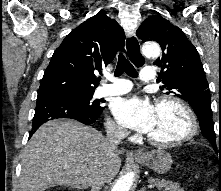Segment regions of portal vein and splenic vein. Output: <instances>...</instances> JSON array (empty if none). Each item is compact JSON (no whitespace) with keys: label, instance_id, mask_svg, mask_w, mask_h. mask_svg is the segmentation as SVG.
I'll return each instance as SVG.
<instances>
[{"label":"portal vein and splenic vein","instance_id":"obj_1","mask_svg":"<svg viewBox=\"0 0 221 191\" xmlns=\"http://www.w3.org/2000/svg\"><path fill=\"white\" fill-rule=\"evenodd\" d=\"M149 187H152V184L148 185Z\"/></svg>","mask_w":221,"mask_h":191}]
</instances>
